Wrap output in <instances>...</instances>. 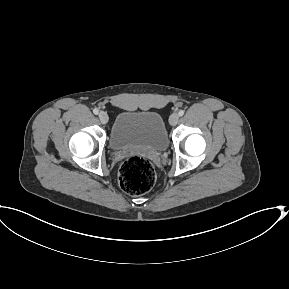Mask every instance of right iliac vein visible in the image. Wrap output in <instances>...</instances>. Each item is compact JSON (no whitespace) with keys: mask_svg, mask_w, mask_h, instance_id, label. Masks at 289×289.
<instances>
[{"mask_svg":"<svg viewBox=\"0 0 289 289\" xmlns=\"http://www.w3.org/2000/svg\"><path fill=\"white\" fill-rule=\"evenodd\" d=\"M98 117L101 121V123L103 124H106L109 120V117H108V114L104 111H101L99 114H98Z\"/></svg>","mask_w":289,"mask_h":289,"instance_id":"obj_1","label":"right iliac vein"}]
</instances>
